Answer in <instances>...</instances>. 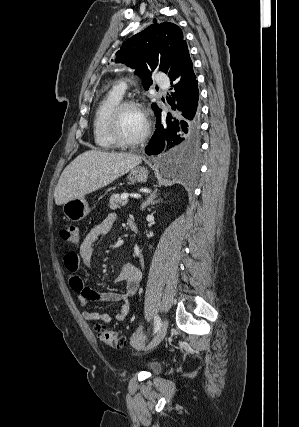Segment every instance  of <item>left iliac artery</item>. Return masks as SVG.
<instances>
[{"label":"left iliac artery","mask_w":299,"mask_h":427,"mask_svg":"<svg viewBox=\"0 0 299 427\" xmlns=\"http://www.w3.org/2000/svg\"><path fill=\"white\" fill-rule=\"evenodd\" d=\"M154 322H155L154 333H156L159 330L161 325V319L158 315L154 317Z\"/></svg>","instance_id":"obj_1"}]
</instances>
